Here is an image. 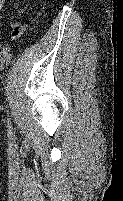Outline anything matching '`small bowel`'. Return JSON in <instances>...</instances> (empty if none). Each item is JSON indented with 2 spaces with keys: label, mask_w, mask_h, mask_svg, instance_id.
Masks as SVG:
<instances>
[{
  "label": "small bowel",
  "mask_w": 123,
  "mask_h": 201,
  "mask_svg": "<svg viewBox=\"0 0 123 201\" xmlns=\"http://www.w3.org/2000/svg\"><path fill=\"white\" fill-rule=\"evenodd\" d=\"M5 1L6 0H0V10L2 9ZM9 27L11 29L12 39L15 41L18 40L22 36L23 26L19 23H13ZM0 29H1V26H0Z\"/></svg>",
  "instance_id": "obj_1"
}]
</instances>
